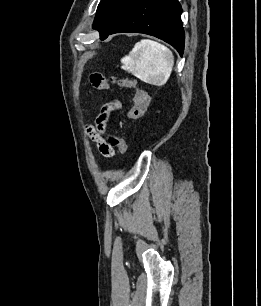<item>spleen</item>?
Instances as JSON below:
<instances>
[{"label":"spleen","instance_id":"1","mask_svg":"<svg viewBox=\"0 0 261 306\" xmlns=\"http://www.w3.org/2000/svg\"><path fill=\"white\" fill-rule=\"evenodd\" d=\"M122 68L141 81L162 86L168 81L173 65L172 51L149 39L136 43L132 51L121 59Z\"/></svg>","mask_w":261,"mask_h":306}]
</instances>
